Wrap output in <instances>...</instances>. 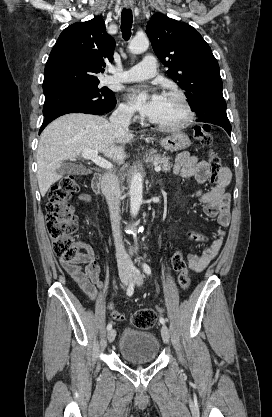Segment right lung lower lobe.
Wrapping results in <instances>:
<instances>
[{
    "label": "right lung lower lobe",
    "mask_w": 272,
    "mask_h": 417,
    "mask_svg": "<svg viewBox=\"0 0 272 417\" xmlns=\"http://www.w3.org/2000/svg\"><path fill=\"white\" fill-rule=\"evenodd\" d=\"M116 105V101L107 107H96L90 104H70L66 105L64 107H61L54 112H52L50 115L45 116V119L43 121V124L39 130V133L42 132V130L54 119H56L59 116H62L64 114L68 113H87V114H96V115H103L104 113H108L114 109Z\"/></svg>",
    "instance_id": "1"
}]
</instances>
